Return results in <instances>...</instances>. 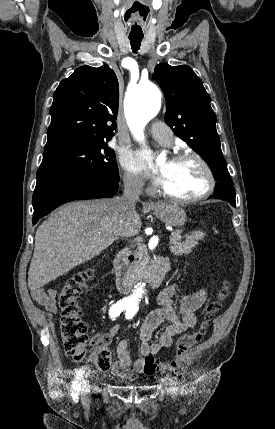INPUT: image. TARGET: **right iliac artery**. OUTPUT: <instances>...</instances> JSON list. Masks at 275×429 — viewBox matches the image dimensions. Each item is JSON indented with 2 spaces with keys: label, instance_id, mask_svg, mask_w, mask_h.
<instances>
[{
  "label": "right iliac artery",
  "instance_id": "right-iliac-artery-1",
  "mask_svg": "<svg viewBox=\"0 0 275 429\" xmlns=\"http://www.w3.org/2000/svg\"><path fill=\"white\" fill-rule=\"evenodd\" d=\"M125 308H126V306L124 303L117 302L116 304H113L109 310L110 318L115 320V318L118 317L121 314V312L125 310ZM83 373H84V369L81 368L77 372V376L73 382L72 396H73L74 400L78 399L79 391L81 390V379H82Z\"/></svg>",
  "mask_w": 275,
  "mask_h": 429
}]
</instances>
